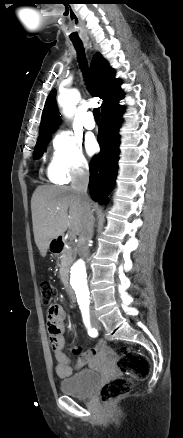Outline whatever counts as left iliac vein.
<instances>
[{
	"label": "left iliac vein",
	"instance_id": "1",
	"mask_svg": "<svg viewBox=\"0 0 183 438\" xmlns=\"http://www.w3.org/2000/svg\"><path fill=\"white\" fill-rule=\"evenodd\" d=\"M93 325H94V327H96L97 329H100V328H101L100 323L96 320V318L94 317V315H93Z\"/></svg>",
	"mask_w": 183,
	"mask_h": 438
}]
</instances>
